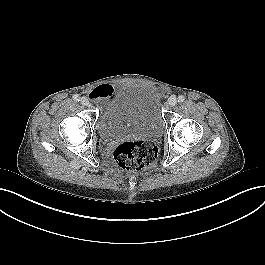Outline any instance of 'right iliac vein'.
Masks as SVG:
<instances>
[{"label":"right iliac vein","mask_w":265,"mask_h":265,"mask_svg":"<svg viewBox=\"0 0 265 265\" xmlns=\"http://www.w3.org/2000/svg\"><path fill=\"white\" fill-rule=\"evenodd\" d=\"M80 102H81V104L84 105V106H89V105H90L89 99H88L87 97H82V98L80 99Z\"/></svg>","instance_id":"63e3f726"}]
</instances>
